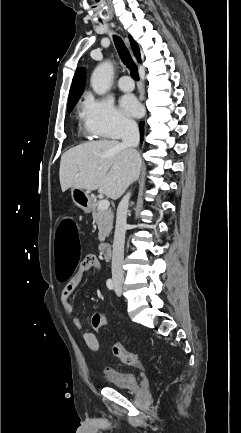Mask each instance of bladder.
Returning a JSON list of instances; mask_svg holds the SVG:
<instances>
[{
	"label": "bladder",
	"instance_id": "1",
	"mask_svg": "<svg viewBox=\"0 0 241 433\" xmlns=\"http://www.w3.org/2000/svg\"><path fill=\"white\" fill-rule=\"evenodd\" d=\"M104 377L109 382L110 387L119 390H130L138 385L136 376L131 372L115 371L104 374Z\"/></svg>",
	"mask_w": 241,
	"mask_h": 433
}]
</instances>
